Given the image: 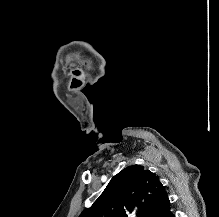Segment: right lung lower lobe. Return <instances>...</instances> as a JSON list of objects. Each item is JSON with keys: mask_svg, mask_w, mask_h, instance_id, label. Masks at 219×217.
Wrapping results in <instances>:
<instances>
[{"mask_svg": "<svg viewBox=\"0 0 219 217\" xmlns=\"http://www.w3.org/2000/svg\"><path fill=\"white\" fill-rule=\"evenodd\" d=\"M164 217H175V215L173 214V212L171 211V209H169V210L165 213Z\"/></svg>", "mask_w": 219, "mask_h": 217, "instance_id": "right-lung-lower-lobe-1", "label": "right lung lower lobe"}]
</instances>
